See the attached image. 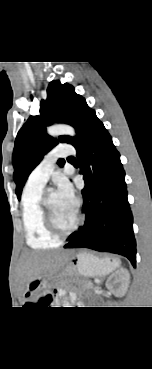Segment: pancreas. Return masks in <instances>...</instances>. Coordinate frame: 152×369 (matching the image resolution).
<instances>
[{
  "label": "pancreas",
  "instance_id": "1",
  "mask_svg": "<svg viewBox=\"0 0 152 369\" xmlns=\"http://www.w3.org/2000/svg\"><path fill=\"white\" fill-rule=\"evenodd\" d=\"M81 291H89L93 288V283L91 281H81L80 282Z\"/></svg>",
  "mask_w": 152,
  "mask_h": 369
}]
</instances>
